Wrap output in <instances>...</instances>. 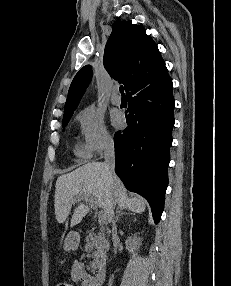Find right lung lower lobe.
Returning <instances> with one entry per match:
<instances>
[{
    "mask_svg": "<svg viewBox=\"0 0 231 286\" xmlns=\"http://www.w3.org/2000/svg\"><path fill=\"white\" fill-rule=\"evenodd\" d=\"M172 89L168 71L133 82L126 89L128 127L114 135L115 171L128 190L149 202L156 224L163 212L168 186L175 122Z\"/></svg>",
    "mask_w": 231,
    "mask_h": 286,
    "instance_id": "right-lung-lower-lobe-1",
    "label": "right lung lower lobe"
}]
</instances>
